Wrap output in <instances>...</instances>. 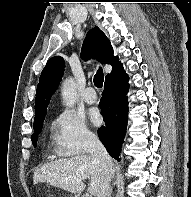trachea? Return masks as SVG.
I'll return each instance as SVG.
<instances>
[{
  "mask_svg": "<svg viewBox=\"0 0 191 197\" xmlns=\"http://www.w3.org/2000/svg\"><path fill=\"white\" fill-rule=\"evenodd\" d=\"M104 73L102 68H99L94 76V84L96 87L101 88L103 86Z\"/></svg>",
  "mask_w": 191,
  "mask_h": 197,
  "instance_id": "trachea-1",
  "label": "trachea"
}]
</instances>
